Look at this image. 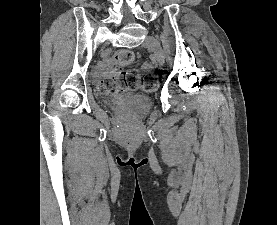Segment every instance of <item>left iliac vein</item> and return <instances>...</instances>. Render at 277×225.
<instances>
[{
    "instance_id": "obj_1",
    "label": "left iliac vein",
    "mask_w": 277,
    "mask_h": 225,
    "mask_svg": "<svg viewBox=\"0 0 277 225\" xmlns=\"http://www.w3.org/2000/svg\"><path fill=\"white\" fill-rule=\"evenodd\" d=\"M143 46L153 52L154 57L160 66L164 64L165 56L163 49L160 45V42L154 36H147Z\"/></svg>"
}]
</instances>
